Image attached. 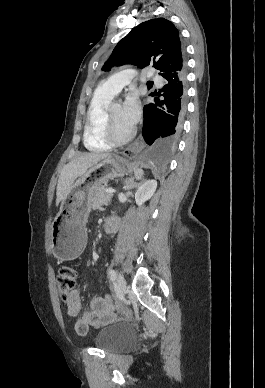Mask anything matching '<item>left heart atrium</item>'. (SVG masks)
I'll return each instance as SVG.
<instances>
[{
    "mask_svg": "<svg viewBox=\"0 0 265 388\" xmlns=\"http://www.w3.org/2000/svg\"><path fill=\"white\" fill-rule=\"evenodd\" d=\"M140 103L135 95H131L125 101L122 107V118L129 125H135L140 119Z\"/></svg>",
    "mask_w": 265,
    "mask_h": 388,
    "instance_id": "left-heart-atrium-1",
    "label": "left heart atrium"
}]
</instances>
